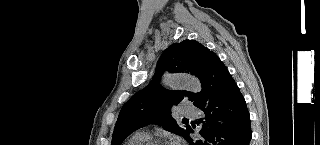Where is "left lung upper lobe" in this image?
Segmentation results:
<instances>
[{"instance_id":"obj_1","label":"left lung upper lobe","mask_w":320,"mask_h":145,"mask_svg":"<svg viewBox=\"0 0 320 145\" xmlns=\"http://www.w3.org/2000/svg\"><path fill=\"white\" fill-rule=\"evenodd\" d=\"M217 59L214 52L195 40H184L168 47L158 60L153 80L121 109L111 145H120L133 131L152 123L186 138L190 126L179 127L171 115V107L185 97L195 105L200 93L166 90L159 84V79L168 69L171 73H191L202 81L208 67Z\"/></svg>"}]
</instances>
